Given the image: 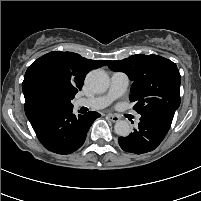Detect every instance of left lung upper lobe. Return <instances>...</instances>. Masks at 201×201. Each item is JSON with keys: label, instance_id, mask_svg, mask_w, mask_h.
I'll list each match as a JSON object with an SVG mask.
<instances>
[{"label": "left lung upper lobe", "instance_id": "left-lung-upper-lobe-1", "mask_svg": "<svg viewBox=\"0 0 201 201\" xmlns=\"http://www.w3.org/2000/svg\"><path fill=\"white\" fill-rule=\"evenodd\" d=\"M113 71L125 72L133 84L130 99L142 116L165 113L174 116L180 105L181 76L176 64L158 55H132L107 61Z\"/></svg>", "mask_w": 201, "mask_h": 201}]
</instances>
